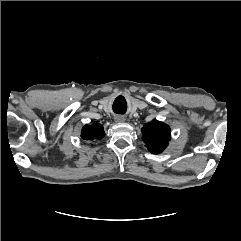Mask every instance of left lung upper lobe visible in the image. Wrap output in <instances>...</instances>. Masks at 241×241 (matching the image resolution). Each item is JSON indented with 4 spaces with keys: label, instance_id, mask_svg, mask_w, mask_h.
<instances>
[{
    "label": "left lung upper lobe",
    "instance_id": "1",
    "mask_svg": "<svg viewBox=\"0 0 241 241\" xmlns=\"http://www.w3.org/2000/svg\"><path fill=\"white\" fill-rule=\"evenodd\" d=\"M142 133V139L147 149L153 154L161 153L167 147L171 138L170 127L157 120L144 124Z\"/></svg>",
    "mask_w": 241,
    "mask_h": 241
}]
</instances>
